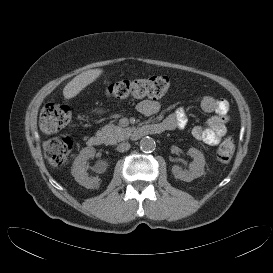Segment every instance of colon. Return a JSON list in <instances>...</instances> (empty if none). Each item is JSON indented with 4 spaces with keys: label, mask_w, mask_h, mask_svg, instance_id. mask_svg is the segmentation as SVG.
I'll list each match as a JSON object with an SVG mask.
<instances>
[{
    "label": "colon",
    "mask_w": 273,
    "mask_h": 273,
    "mask_svg": "<svg viewBox=\"0 0 273 273\" xmlns=\"http://www.w3.org/2000/svg\"><path fill=\"white\" fill-rule=\"evenodd\" d=\"M170 88V81L165 76L119 80L111 83L107 94L117 99L160 98ZM71 120L68 106L59 103H47L40 115V127L46 133H55L65 128ZM73 150V143L67 137L49 138L44 142V153L53 167H60L66 163ZM234 155V140L227 137L217 149V160L221 164L229 163Z\"/></svg>",
    "instance_id": "1"
}]
</instances>
